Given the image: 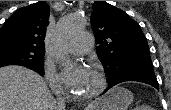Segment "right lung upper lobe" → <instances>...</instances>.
<instances>
[{
    "instance_id": "right-lung-upper-lobe-1",
    "label": "right lung upper lobe",
    "mask_w": 171,
    "mask_h": 110,
    "mask_svg": "<svg viewBox=\"0 0 171 110\" xmlns=\"http://www.w3.org/2000/svg\"><path fill=\"white\" fill-rule=\"evenodd\" d=\"M49 13V6L45 1L18 9L0 29V43L10 42L27 48L45 50L44 38Z\"/></svg>"
}]
</instances>
